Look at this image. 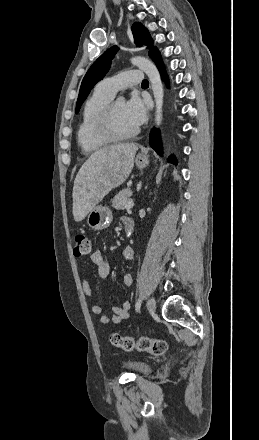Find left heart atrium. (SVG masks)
<instances>
[{"mask_svg": "<svg viewBox=\"0 0 259 440\" xmlns=\"http://www.w3.org/2000/svg\"><path fill=\"white\" fill-rule=\"evenodd\" d=\"M125 112L130 122L138 128L147 119V103L137 95H132L125 103Z\"/></svg>", "mask_w": 259, "mask_h": 440, "instance_id": "1", "label": "left heart atrium"}]
</instances>
